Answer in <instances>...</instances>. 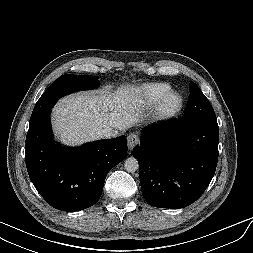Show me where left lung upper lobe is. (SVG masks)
<instances>
[{"label":"left lung upper lobe","instance_id":"5c2ea615","mask_svg":"<svg viewBox=\"0 0 253 253\" xmlns=\"http://www.w3.org/2000/svg\"><path fill=\"white\" fill-rule=\"evenodd\" d=\"M189 91L187 107L181 120L191 122L196 119L216 118L212 105L195 83H190Z\"/></svg>","mask_w":253,"mask_h":253}]
</instances>
